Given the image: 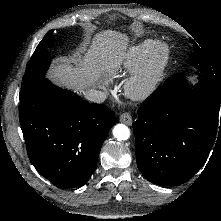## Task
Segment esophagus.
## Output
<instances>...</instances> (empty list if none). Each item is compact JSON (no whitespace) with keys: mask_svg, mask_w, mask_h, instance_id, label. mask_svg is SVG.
Instances as JSON below:
<instances>
[{"mask_svg":"<svg viewBox=\"0 0 221 221\" xmlns=\"http://www.w3.org/2000/svg\"><path fill=\"white\" fill-rule=\"evenodd\" d=\"M120 121L122 123L127 124V125H131L132 124V117L129 113H123L120 116Z\"/></svg>","mask_w":221,"mask_h":221,"instance_id":"obj_1","label":"esophagus"}]
</instances>
